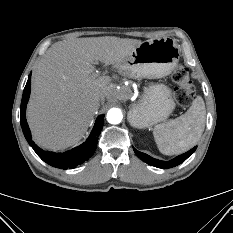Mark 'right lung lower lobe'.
I'll return each mask as SVG.
<instances>
[{
	"instance_id": "1",
	"label": "right lung lower lobe",
	"mask_w": 233,
	"mask_h": 233,
	"mask_svg": "<svg viewBox=\"0 0 233 233\" xmlns=\"http://www.w3.org/2000/svg\"><path fill=\"white\" fill-rule=\"evenodd\" d=\"M30 87H31V74L28 77V81L23 91L22 101H21V118L20 123L24 133V136L29 143V145L34 149L36 154L47 164L61 169L73 168L85 161H87L95 152L98 136L103 127V118L104 115H100L95 122L94 128L86 140L82 145L67 151L65 153H54L49 151H44L39 148L31 139V133L26 121L25 112H26V104L30 95Z\"/></svg>"
}]
</instances>
